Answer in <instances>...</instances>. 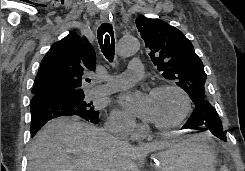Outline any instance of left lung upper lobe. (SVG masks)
<instances>
[{"instance_id":"left-lung-upper-lobe-1","label":"left lung upper lobe","mask_w":245,"mask_h":171,"mask_svg":"<svg viewBox=\"0 0 245 171\" xmlns=\"http://www.w3.org/2000/svg\"><path fill=\"white\" fill-rule=\"evenodd\" d=\"M136 26L162 76L174 80L194 104L207 100L203 63L185 35L160 19L138 17Z\"/></svg>"}]
</instances>
